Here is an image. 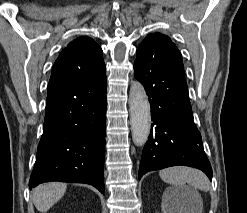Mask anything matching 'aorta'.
<instances>
[{
    "label": "aorta",
    "mask_w": 247,
    "mask_h": 213,
    "mask_svg": "<svg viewBox=\"0 0 247 213\" xmlns=\"http://www.w3.org/2000/svg\"><path fill=\"white\" fill-rule=\"evenodd\" d=\"M130 122L133 142L142 146L150 134V104L144 87L139 82H134L129 94Z\"/></svg>",
    "instance_id": "aorta-1"
}]
</instances>
